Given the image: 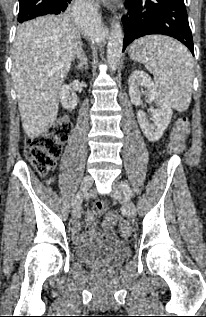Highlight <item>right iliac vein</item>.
Masks as SVG:
<instances>
[{
    "mask_svg": "<svg viewBox=\"0 0 206 317\" xmlns=\"http://www.w3.org/2000/svg\"><path fill=\"white\" fill-rule=\"evenodd\" d=\"M92 177L90 175L84 176L81 183V191L82 193H86L90 186L92 185ZM81 213V201H78L73 209V218L77 219Z\"/></svg>",
    "mask_w": 206,
    "mask_h": 317,
    "instance_id": "63e3f726",
    "label": "right iliac vein"
}]
</instances>
